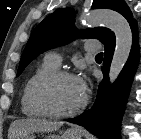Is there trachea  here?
Listing matches in <instances>:
<instances>
[{
	"label": "trachea",
	"mask_w": 141,
	"mask_h": 139,
	"mask_svg": "<svg viewBox=\"0 0 141 139\" xmlns=\"http://www.w3.org/2000/svg\"><path fill=\"white\" fill-rule=\"evenodd\" d=\"M96 58H103V53H99L96 55Z\"/></svg>",
	"instance_id": "3493384b"
}]
</instances>
